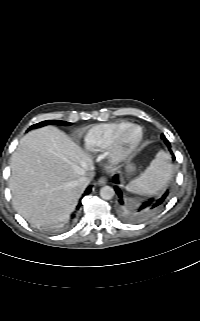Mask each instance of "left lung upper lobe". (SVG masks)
I'll return each mask as SVG.
<instances>
[{
  "label": "left lung upper lobe",
  "mask_w": 200,
  "mask_h": 321,
  "mask_svg": "<svg viewBox=\"0 0 200 321\" xmlns=\"http://www.w3.org/2000/svg\"><path fill=\"white\" fill-rule=\"evenodd\" d=\"M162 139H164V140H165V137H164V136H162ZM165 143H167V142H165Z\"/></svg>",
  "instance_id": "1"
}]
</instances>
